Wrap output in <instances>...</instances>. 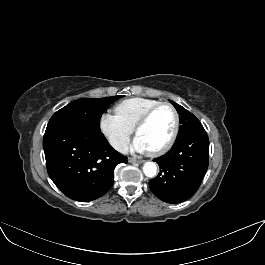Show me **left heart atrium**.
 <instances>
[{
	"label": "left heart atrium",
	"instance_id": "obj_1",
	"mask_svg": "<svg viewBox=\"0 0 265 265\" xmlns=\"http://www.w3.org/2000/svg\"><path fill=\"white\" fill-rule=\"evenodd\" d=\"M129 148L131 151H136V152L148 151V147L138 136L134 139L133 143L130 145Z\"/></svg>",
	"mask_w": 265,
	"mask_h": 265
}]
</instances>
